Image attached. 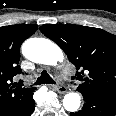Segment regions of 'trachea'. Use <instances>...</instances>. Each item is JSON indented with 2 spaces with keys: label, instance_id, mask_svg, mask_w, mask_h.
I'll return each instance as SVG.
<instances>
[{
  "label": "trachea",
  "instance_id": "3493384b",
  "mask_svg": "<svg viewBox=\"0 0 116 116\" xmlns=\"http://www.w3.org/2000/svg\"><path fill=\"white\" fill-rule=\"evenodd\" d=\"M41 84H55V81L50 77L47 71H42L40 77L37 78L36 82L33 85Z\"/></svg>",
  "mask_w": 116,
  "mask_h": 116
}]
</instances>
